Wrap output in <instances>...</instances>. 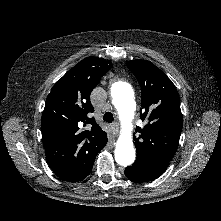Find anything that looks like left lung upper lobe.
I'll list each match as a JSON object with an SVG mask.
<instances>
[{"label":"left lung upper lobe","mask_w":221,"mask_h":221,"mask_svg":"<svg viewBox=\"0 0 221 221\" xmlns=\"http://www.w3.org/2000/svg\"><path fill=\"white\" fill-rule=\"evenodd\" d=\"M141 87L142 113L147 124L136 127L137 152L133 167L166 169L177 151L182 131L180 98L172 81L154 64L144 60L126 62Z\"/></svg>","instance_id":"1"}]
</instances>
